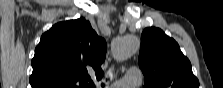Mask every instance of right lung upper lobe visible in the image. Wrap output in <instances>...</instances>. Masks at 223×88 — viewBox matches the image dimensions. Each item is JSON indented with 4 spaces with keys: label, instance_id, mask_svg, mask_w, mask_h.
<instances>
[{
    "label": "right lung upper lobe",
    "instance_id": "right-lung-upper-lobe-1",
    "mask_svg": "<svg viewBox=\"0 0 223 88\" xmlns=\"http://www.w3.org/2000/svg\"><path fill=\"white\" fill-rule=\"evenodd\" d=\"M106 42L84 18L55 24L45 32L32 59V88H87L102 78Z\"/></svg>",
    "mask_w": 223,
    "mask_h": 88
}]
</instances>
